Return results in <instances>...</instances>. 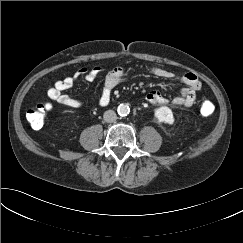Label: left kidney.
<instances>
[{
  "label": "left kidney",
  "instance_id": "left-kidney-1",
  "mask_svg": "<svg viewBox=\"0 0 243 243\" xmlns=\"http://www.w3.org/2000/svg\"><path fill=\"white\" fill-rule=\"evenodd\" d=\"M154 115L160 123L173 124L174 117L171 109L167 106H161L154 111Z\"/></svg>",
  "mask_w": 243,
  "mask_h": 243
}]
</instances>
